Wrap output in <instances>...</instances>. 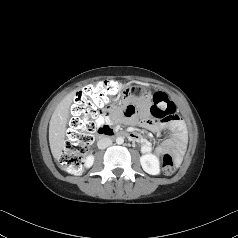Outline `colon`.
<instances>
[{"label":"colon","mask_w":238,"mask_h":238,"mask_svg":"<svg viewBox=\"0 0 238 238\" xmlns=\"http://www.w3.org/2000/svg\"><path fill=\"white\" fill-rule=\"evenodd\" d=\"M122 91L117 81L107 80L88 85L81 89L72 105V118L65 141L64 151L60 158V167L69 174H78L82 170L84 156L93 142L97 128L94 118L110 99ZM149 113L156 121H170L176 118V106L163 92L153 96ZM162 169L167 175L176 169V161L171 152L162 157Z\"/></svg>","instance_id":"5ec220e1"}]
</instances>
